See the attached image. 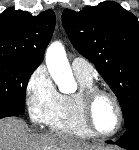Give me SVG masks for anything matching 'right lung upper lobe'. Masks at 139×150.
I'll return each mask as SVG.
<instances>
[{"instance_id": "1", "label": "right lung upper lobe", "mask_w": 139, "mask_h": 150, "mask_svg": "<svg viewBox=\"0 0 139 150\" xmlns=\"http://www.w3.org/2000/svg\"><path fill=\"white\" fill-rule=\"evenodd\" d=\"M55 27L52 10L32 16L8 8L0 14V59L39 66Z\"/></svg>"}]
</instances>
